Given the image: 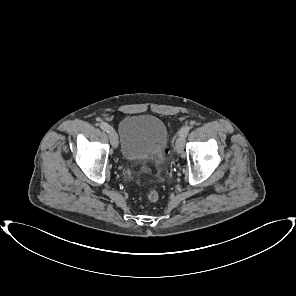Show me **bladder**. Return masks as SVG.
I'll return each instance as SVG.
<instances>
[{
    "label": "bladder",
    "instance_id": "bladder-1",
    "mask_svg": "<svg viewBox=\"0 0 296 296\" xmlns=\"http://www.w3.org/2000/svg\"><path fill=\"white\" fill-rule=\"evenodd\" d=\"M120 149L123 158L139 163L161 154L168 131L164 122L152 115H129L119 125Z\"/></svg>",
    "mask_w": 296,
    "mask_h": 296
}]
</instances>
